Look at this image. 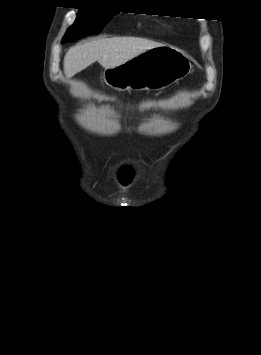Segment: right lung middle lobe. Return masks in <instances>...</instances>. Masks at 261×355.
<instances>
[{"label": "right lung middle lobe", "instance_id": "obj_1", "mask_svg": "<svg viewBox=\"0 0 261 355\" xmlns=\"http://www.w3.org/2000/svg\"><path fill=\"white\" fill-rule=\"evenodd\" d=\"M117 12L80 8L75 23L68 28L63 40H76L98 33L103 25Z\"/></svg>", "mask_w": 261, "mask_h": 355}]
</instances>
